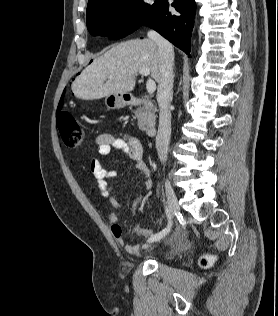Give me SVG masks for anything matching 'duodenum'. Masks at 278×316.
Masks as SVG:
<instances>
[{"mask_svg": "<svg viewBox=\"0 0 278 316\" xmlns=\"http://www.w3.org/2000/svg\"><path fill=\"white\" fill-rule=\"evenodd\" d=\"M124 101L125 103L130 104V105H139L142 103V100L140 98L131 94L125 95ZM145 131L148 136H154L156 134L157 128L155 125H149Z\"/></svg>", "mask_w": 278, "mask_h": 316, "instance_id": "1", "label": "duodenum"}]
</instances>
